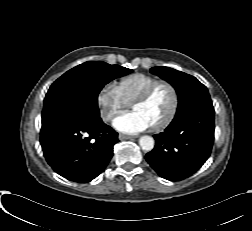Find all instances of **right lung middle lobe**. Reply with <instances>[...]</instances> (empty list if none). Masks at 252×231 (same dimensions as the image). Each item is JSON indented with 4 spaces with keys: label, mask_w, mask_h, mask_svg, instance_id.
Returning <instances> with one entry per match:
<instances>
[{
    "label": "right lung middle lobe",
    "mask_w": 252,
    "mask_h": 231,
    "mask_svg": "<svg viewBox=\"0 0 252 231\" xmlns=\"http://www.w3.org/2000/svg\"><path fill=\"white\" fill-rule=\"evenodd\" d=\"M132 70L102 61H88L67 71L48 90L42 121L60 113L99 117L97 98L110 81Z\"/></svg>",
    "instance_id": "right-lung-middle-lobe-1"
}]
</instances>
